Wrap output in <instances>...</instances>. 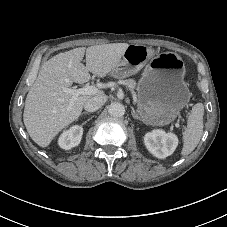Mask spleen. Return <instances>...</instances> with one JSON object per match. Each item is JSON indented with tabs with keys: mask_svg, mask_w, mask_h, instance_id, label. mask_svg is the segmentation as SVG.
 Returning a JSON list of instances; mask_svg holds the SVG:
<instances>
[{
	"mask_svg": "<svg viewBox=\"0 0 227 227\" xmlns=\"http://www.w3.org/2000/svg\"><path fill=\"white\" fill-rule=\"evenodd\" d=\"M203 115V104H195L188 117L187 128L183 132L182 156L189 155L197 147L203 134Z\"/></svg>",
	"mask_w": 227,
	"mask_h": 227,
	"instance_id": "3e777b00",
	"label": "spleen"
}]
</instances>
